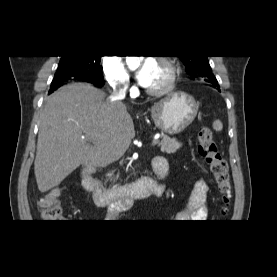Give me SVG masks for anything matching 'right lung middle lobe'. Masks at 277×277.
<instances>
[{
	"instance_id": "obj_1",
	"label": "right lung middle lobe",
	"mask_w": 277,
	"mask_h": 277,
	"mask_svg": "<svg viewBox=\"0 0 277 277\" xmlns=\"http://www.w3.org/2000/svg\"><path fill=\"white\" fill-rule=\"evenodd\" d=\"M100 59L101 56H61L49 92L51 93L52 85L54 88H58L63 82L74 80L76 76L87 78L90 81L102 82Z\"/></svg>"
}]
</instances>
